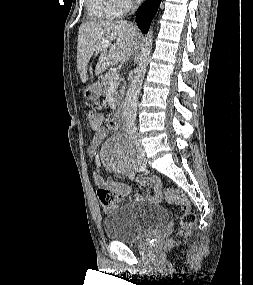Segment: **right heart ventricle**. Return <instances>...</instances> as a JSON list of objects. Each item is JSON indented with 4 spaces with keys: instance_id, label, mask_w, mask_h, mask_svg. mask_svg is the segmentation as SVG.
I'll use <instances>...</instances> for the list:
<instances>
[{
    "instance_id": "right-heart-ventricle-1",
    "label": "right heart ventricle",
    "mask_w": 253,
    "mask_h": 285,
    "mask_svg": "<svg viewBox=\"0 0 253 285\" xmlns=\"http://www.w3.org/2000/svg\"><path fill=\"white\" fill-rule=\"evenodd\" d=\"M87 13L94 20H110L122 15L123 8L119 0H87Z\"/></svg>"
}]
</instances>
